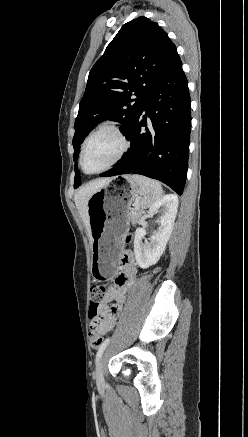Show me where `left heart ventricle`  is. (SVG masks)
<instances>
[{
  "mask_svg": "<svg viewBox=\"0 0 248 437\" xmlns=\"http://www.w3.org/2000/svg\"><path fill=\"white\" fill-rule=\"evenodd\" d=\"M121 148L118 137L103 131L95 135L87 143L84 154V165L88 172H95L109 164Z\"/></svg>",
  "mask_w": 248,
  "mask_h": 437,
  "instance_id": "b2bd125f",
  "label": "left heart ventricle"
}]
</instances>
